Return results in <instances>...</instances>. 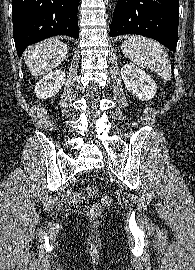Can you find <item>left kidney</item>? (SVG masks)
Returning <instances> with one entry per match:
<instances>
[{"mask_svg":"<svg viewBox=\"0 0 195 270\" xmlns=\"http://www.w3.org/2000/svg\"><path fill=\"white\" fill-rule=\"evenodd\" d=\"M121 76L128 91L142 101L152 99L157 92V85L153 79L132 63L124 65Z\"/></svg>","mask_w":195,"mask_h":270,"instance_id":"obj_1","label":"left kidney"}]
</instances>
